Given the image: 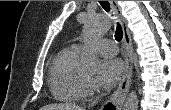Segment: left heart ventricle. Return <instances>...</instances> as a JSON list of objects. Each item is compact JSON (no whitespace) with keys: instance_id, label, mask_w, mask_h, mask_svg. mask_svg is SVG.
<instances>
[{"instance_id":"left-heart-ventricle-1","label":"left heart ventricle","mask_w":171,"mask_h":110,"mask_svg":"<svg viewBox=\"0 0 171 110\" xmlns=\"http://www.w3.org/2000/svg\"><path fill=\"white\" fill-rule=\"evenodd\" d=\"M86 82L93 85L94 75L93 74H81L80 75Z\"/></svg>"}]
</instances>
